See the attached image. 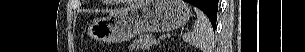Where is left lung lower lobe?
I'll return each instance as SVG.
<instances>
[{"instance_id": "obj_1", "label": "left lung lower lobe", "mask_w": 305, "mask_h": 52, "mask_svg": "<svg viewBox=\"0 0 305 52\" xmlns=\"http://www.w3.org/2000/svg\"><path fill=\"white\" fill-rule=\"evenodd\" d=\"M186 1L200 8L203 12L206 9H212V8H214L215 10L218 9V0H186ZM212 26H213V30L215 31L216 24Z\"/></svg>"}]
</instances>
